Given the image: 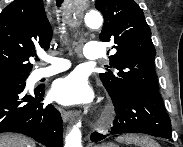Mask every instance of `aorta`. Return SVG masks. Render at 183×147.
I'll use <instances>...</instances> for the list:
<instances>
[{"mask_svg": "<svg viewBox=\"0 0 183 147\" xmlns=\"http://www.w3.org/2000/svg\"><path fill=\"white\" fill-rule=\"evenodd\" d=\"M88 28L97 29L102 26L103 18L99 12H88L84 16ZM81 122H77L66 136L65 147H82Z\"/></svg>", "mask_w": 183, "mask_h": 147, "instance_id": "aorta-1", "label": "aorta"}]
</instances>
